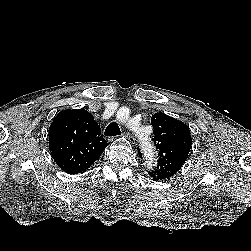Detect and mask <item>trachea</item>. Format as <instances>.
Listing matches in <instances>:
<instances>
[{
    "label": "trachea",
    "instance_id": "trachea-1",
    "mask_svg": "<svg viewBox=\"0 0 251 251\" xmlns=\"http://www.w3.org/2000/svg\"><path fill=\"white\" fill-rule=\"evenodd\" d=\"M105 136L112 137L121 134L120 128L116 122L109 124L104 132Z\"/></svg>",
    "mask_w": 251,
    "mask_h": 251
}]
</instances>
